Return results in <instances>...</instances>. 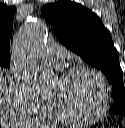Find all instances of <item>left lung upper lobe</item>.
Listing matches in <instances>:
<instances>
[{"label":"left lung upper lobe","instance_id":"5c2ea615","mask_svg":"<svg viewBox=\"0 0 125 128\" xmlns=\"http://www.w3.org/2000/svg\"><path fill=\"white\" fill-rule=\"evenodd\" d=\"M41 14L68 49L107 76L115 100L110 113L125 115V88L118 52L99 17L71 1L48 4L42 8Z\"/></svg>","mask_w":125,"mask_h":128}]
</instances>
